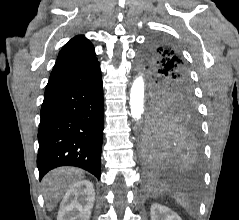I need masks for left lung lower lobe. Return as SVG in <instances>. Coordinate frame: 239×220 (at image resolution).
Listing matches in <instances>:
<instances>
[{"mask_svg": "<svg viewBox=\"0 0 239 220\" xmlns=\"http://www.w3.org/2000/svg\"><path fill=\"white\" fill-rule=\"evenodd\" d=\"M200 150L195 112L151 114L142 141L143 157L150 169L172 164H195Z\"/></svg>", "mask_w": 239, "mask_h": 220, "instance_id": "0a47b994", "label": "left lung lower lobe"}]
</instances>
